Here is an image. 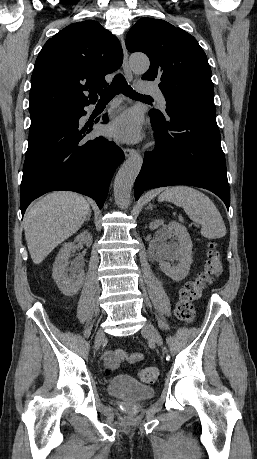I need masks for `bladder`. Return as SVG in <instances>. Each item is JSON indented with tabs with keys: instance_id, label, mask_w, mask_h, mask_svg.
Returning <instances> with one entry per match:
<instances>
[{
	"instance_id": "31cf9c89",
	"label": "bladder",
	"mask_w": 257,
	"mask_h": 459,
	"mask_svg": "<svg viewBox=\"0 0 257 459\" xmlns=\"http://www.w3.org/2000/svg\"><path fill=\"white\" fill-rule=\"evenodd\" d=\"M110 396L117 397L129 402H139L155 396L153 386L145 385L133 378L117 375L111 379L107 386Z\"/></svg>"
}]
</instances>
